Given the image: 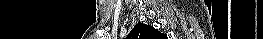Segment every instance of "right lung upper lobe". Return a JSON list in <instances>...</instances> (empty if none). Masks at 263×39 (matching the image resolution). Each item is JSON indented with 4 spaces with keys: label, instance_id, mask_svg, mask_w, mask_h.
<instances>
[{
    "label": "right lung upper lobe",
    "instance_id": "right-lung-upper-lobe-1",
    "mask_svg": "<svg viewBox=\"0 0 263 39\" xmlns=\"http://www.w3.org/2000/svg\"><path fill=\"white\" fill-rule=\"evenodd\" d=\"M163 36L164 34H161L153 26L142 23L135 25L128 35L132 39H160Z\"/></svg>",
    "mask_w": 263,
    "mask_h": 39
}]
</instances>
